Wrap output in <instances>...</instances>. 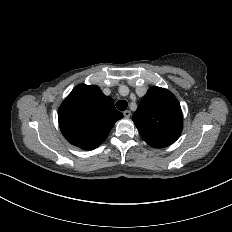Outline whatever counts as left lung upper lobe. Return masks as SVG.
I'll return each mask as SVG.
<instances>
[{
	"mask_svg": "<svg viewBox=\"0 0 232 232\" xmlns=\"http://www.w3.org/2000/svg\"><path fill=\"white\" fill-rule=\"evenodd\" d=\"M132 120L142 139L154 148L174 143L183 128L178 100L170 91L160 87L149 88Z\"/></svg>",
	"mask_w": 232,
	"mask_h": 232,
	"instance_id": "5c2ea615",
	"label": "left lung upper lobe"
}]
</instances>
